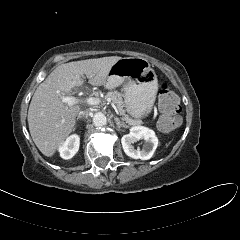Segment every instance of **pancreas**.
<instances>
[{"mask_svg": "<svg viewBox=\"0 0 240 240\" xmlns=\"http://www.w3.org/2000/svg\"><path fill=\"white\" fill-rule=\"evenodd\" d=\"M108 99H110L116 105L120 114L123 116V119L129 125H137V124L140 123L138 120H134V119L130 118L128 115L125 114V110L123 108L124 107V102H123L122 94L120 92H118V91L108 92L104 96V101H107Z\"/></svg>", "mask_w": 240, "mask_h": 240, "instance_id": "cf45deb5", "label": "pancreas"}]
</instances>
